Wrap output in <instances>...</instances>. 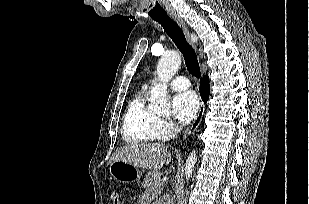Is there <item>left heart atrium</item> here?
Listing matches in <instances>:
<instances>
[{
    "instance_id": "left-heart-atrium-1",
    "label": "left heart atrium",
    "mask_w": 309,
    "mask_h": 204,
    "mask_svg": "<svg viewBox=\"0 0 309 204\" xmlns=\"http://www.w3.org/2000/svg\"><path fill=\"white\" fill-rule=\"evenodd\" d=\"M199 109V100L194 92H181L173 97L172 111L180 124L189 123Z\"/></svg>"
}]
</instances>
